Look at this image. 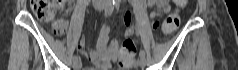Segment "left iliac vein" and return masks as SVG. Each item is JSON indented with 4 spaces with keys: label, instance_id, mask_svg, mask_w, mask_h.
<instances>
[{
    "label": "left iliac vein",
    "instance_id": "4c4485c4",
    "mask_svg": "<svg viewBox=\"0 0 238 70\" xmlns=\"http://www.w3.org/2000/svg\"><path fill=\"white\" fill-rule=\"evenodd\" d=\"M138 64L141 68H144L146 64L145 58L140 57Z\"/></svg>",
    "mask_w": 238,
    "mask_h": 70
}]
</instances>
